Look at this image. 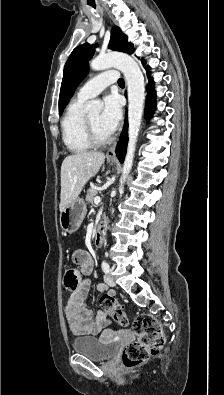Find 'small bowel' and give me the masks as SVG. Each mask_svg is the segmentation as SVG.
<instances>
[{"instance_id":"c3829d8e","label":"small bowel","mask_w":224,"mask_h":395,"mask_svg":"<svg viewBox=\"0 0 224 395\" xmlns=\"http://www.w3.org/2000/svg\"><path fill=\"white\" fill-rule=\"evenodd\" d=\"M73 260L80 266L84 277L77 287L72 290V294L67 301L64 312L71 332L75 335H97L110 325V319L104 310L94 314L93 310L85 304L86 296L90 287V279L87 277L93 269V260L85 250H77L73 255ZM97 289L100 292H108L113 295L107 285L99 284Z\"/></svg>"}]
</instances>
